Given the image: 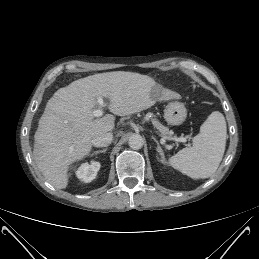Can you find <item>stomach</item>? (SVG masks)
<instances>
[{
	"mask_svg": "<svg viewBox=\"0 0 259 259\" xmlns=\"http://www.w3.org/2000/svg\"><path fill=\"white\" fill-rule=\"evenodd\" d=\"M187 116V110L183 103L178 101L170 102L164 110V118L170 125L182 124Z\"/></svg>",
	"mask_w": 259,
	"mask_h": 259,
	"instance_id": "0dacf381",
	"label": "stomach"
}]
</instances>
